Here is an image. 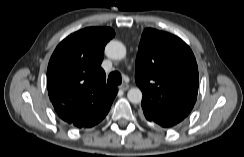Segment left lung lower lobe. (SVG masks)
<instances>
[{
	"mask_svg": "<svg viewBox=\"0 0 244 157\" xmlns=\"http://www.w3.org/2000/svg\"><path fill=\"white\" fill-rule=\"evenodd\" d=\"M145 115V114H144ZM145 118L150 121V122H154L153 120H151L147 115H145ZM155 123V122H154ZM156 124V123H155ZM158 125V124H157Z\"/></svg>",
	"mask_w": 244,
	"mask_h": 157,
	"instance_id": "0a47b994",
	"label": "left lung lower lobe"
}]
</instances>
